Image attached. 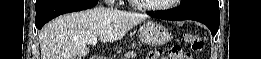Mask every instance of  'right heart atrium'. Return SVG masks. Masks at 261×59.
Listing matches in <instances>:
<instances>
[{
    "mask_svg": "<svg viewBox=\"0 0 261 59\" xmlns=\"http://www.w3.org/2000/svg\"><path fill=\"white\" fill-rule=\"evenodd\" d=\"M116 2V0H107V3L108 4H113V3H115Z\"/></svg>",
    "mask_w": 261,
    "mask_h": 59,
    "instance_id": "1",
    "label": "right heart atrium"
}]
</instances>
